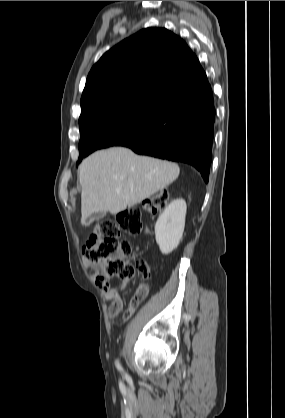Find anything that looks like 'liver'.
<instances>
[{
	"instance_id": "obj_1",
	"label": "liver",
	"mask_w": 285,
	"mask_h": 418,
	"mask_svg": "<svg viewBox=\"0 0 285 418\" xmlns=\"http://www.w3.org/2000/svg\"><path fill=\"white\" fill-rule=\"evenodd\" d=\"M175 163L112 147L88 156L79 166L81 213L117 214L164 189L178 177Z\"/></svg>"
}]
</instances>
